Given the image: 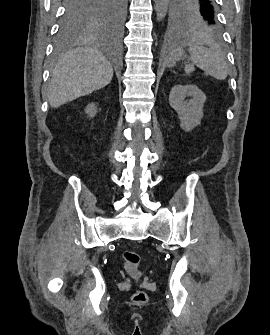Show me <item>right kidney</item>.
Here are the masks:
<instances>
[{"instance_id":"1","label":"right kidney","mask_w":270,"mask_h":335,"mask_svg":"<svg viewBox=\"0 0 270 335\" xmlns=\"http://www.w3.org/2000/svg\"><path fill=\"white\" fill-rule=\"evenodd\" d=\"M85 112L88 114L89 118H94L95 114H97L96 104H88L87 108H85Z\"/></svg>"}]
</instances>
